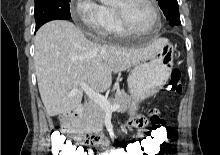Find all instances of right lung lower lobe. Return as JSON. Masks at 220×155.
I'll return each mask as SVG.
<instances>
[{
	"mask_svg": "<svg viewBox=\"0 0 220 155\" xmlns=\"http://www.w3.org/2000/svg\"><path fill=\"white\" fill-rule=\"evenodd\" d=\"M39 27H36V31L38 30Z\"/></svg>",
	"mask_w": 220,
	"mask_h": 155,
	"instance_id": "obj_1",
	"label": "right lung lower lobe"
}]
</instances>
